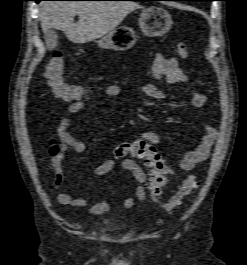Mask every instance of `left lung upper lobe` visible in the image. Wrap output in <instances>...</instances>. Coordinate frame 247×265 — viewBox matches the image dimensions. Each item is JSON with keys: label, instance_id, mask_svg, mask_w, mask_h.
I'll return each mask as SVG.
<instances>
[{"label": "left lung upper lobe", "instance_id": "1", "mask_svg": "<svg viewBox=\"0 0 247 265\" xmlns=\"http://www.w3.org/2000/svg\"><path fill=\"white\" fill-rule=\"evenodd\" d=\"M203 1H211V0H203Z\"/></svg>", "mask_w": 247, "mask_h": 265}]
</instances>
